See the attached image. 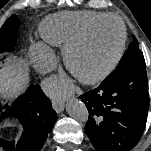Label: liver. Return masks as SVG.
I'll return each mask as SVG.
<instances>
[{
    "mask_svg": "<svg viewBox=\"0 0 151 151\" xmlns=\"http://www.w3.org/2000/svg\"><path fill=\"white\" fill-rule=\"evenodd\" d=\"M29 83L28 64L22 59L8 57L0 69V95L14 99L20 95Z\"/></svg>",
    "mask_w": 151,
    "mask_h": 151,
    "instance_id": "6515ba94",
    "label": "liver"
}]
</instances>
